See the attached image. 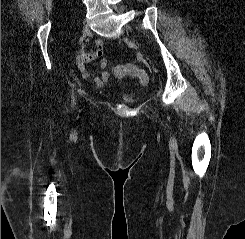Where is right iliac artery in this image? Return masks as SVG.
Returning a JSON list of instances; mask_svg holds the SVG:
<instances>
[{
  "mask_svg": "<svg viewBox=\"0 0 245 239\" xmlns=\"http://www.w3.org/2000/svg\"><path fill=\"white\" fill-rule=\"evenodd\" d=\"M84 43V36H82L80 39H79V44H83ZM74 86L75 84H72V92H71V107L73 108L74 105L76 104L75 103V93H74Z\"/></svg>",
  "mask_w": 245,
  "mask_h": 239,
  "instance_id": "1",
  "label": "right iliac artery"
}]
</instances>
